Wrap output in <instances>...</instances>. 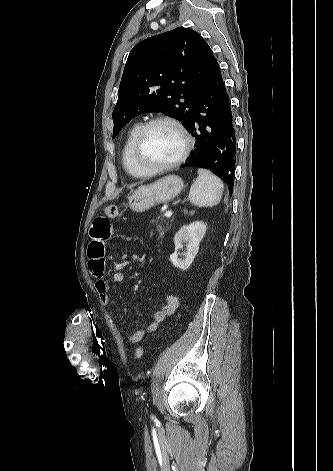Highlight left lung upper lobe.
<instances>
[{
	"instance_id": "left-lung-upper-lobe-1",
	"label": "left lung upper lobe",
	"mask_w": 333,
	"mask_h": 471,
	"mask_svg": "<svg viewBox=\"0 0 333 471\" xmlns=\"http://www.w3.org/2000/svg\"><path fill=\"white\" fill-rule=\"evenodd\" d=\"M216 64L206 41L178 27L147 38L131 50L113 110V137L134 117L162 112L187 128L199 93Z\"/></svg>"
}]
</instances>
